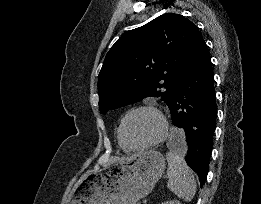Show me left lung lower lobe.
Wrapping results in <instances>:
<instances>
[{"mask_svg": "<svg viewBox=\"0 0 261 204\" xmlns=\"http://www.w3.org/2000/svg\"><path fill=\"white\" fill-rule=\"evenodd\" d=\"M169 109L177 148L185 152L186 162L198 174L202 187L209 168L217 105L211 59L200 32L182 69Z\"/></svg>", "mask_w": 261, "mask_h": 204, "instance_id": "1", "label": "left lung lower lobe"}]
</instances>
